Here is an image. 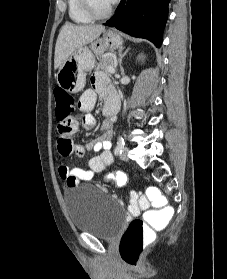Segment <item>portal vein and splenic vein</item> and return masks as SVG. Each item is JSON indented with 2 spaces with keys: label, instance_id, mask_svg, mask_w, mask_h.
Returning a JSON list of instances; mask_svg holds the SVG:
<instances>
[{
  "label": "portal vein and splenic vein",
  "instance_id": "portal-vein-and-splenic-vein-1",
  "mask_svg": "<svg viewBox=\"0 0 227 279\" xmlns=\"http://www.w3.org/2000/svg\"><path fill=\"white\" fill-rule=\"evenodd\" d=\"M108 71L110 73H115V68L113 66H108Z\"/></svg>",
  "mask_w": 227,
  "mask_h": 279
}]
</instances>
